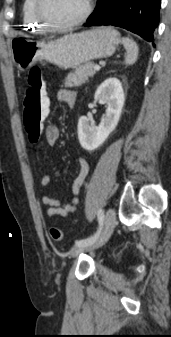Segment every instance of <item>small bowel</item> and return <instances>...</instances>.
<instances>
[{
    "instance_id": "small-bowel-1",
    "label": "small bowel",
    "mask_w": 171,
    "mask_h": 337,
    "mask_svg": "<svg viewBox=\"0 0 171 337\" xmlns=\"http://www.w3.org/2000/svg\"><path fill=\"white\" fill-rule=\"evenodd\" d=\"M57 99L60 102H65L68 105L73 106L77 101V94L73 90L62 88L57 92ZM46 109H49V107ZM45 136L49 145L57 144L60 139V128L56 125H48L45 129ZM77 162L79 166V172L74 178L71 186V200L69 202H64L49 195H44L42 197V203L47 206L46 215L48 217H66L69 214L76 212L80 201V191L90 170L89 163L85 158L80 157L78 158ZM49 183L50 177L47 174L41 175L40 184L43 187H46L49 185Z\"/></svg>"
}]
</instances>
